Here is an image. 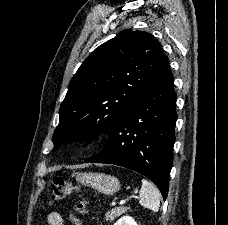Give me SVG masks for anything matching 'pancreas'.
<instances>
[{
	"label": "pancreas",
	"mask_w": 228,
	"mask_h": 225,
	"mask_svg": "<svg viewBox=\"0 0 228 225\" xmlns=\"http://www.w3.org/2000/svg\"><path fill=\"white\" fill-rule=\"evenodd\" d=\"M127 211V207H116V209H111V211H108V213L105 215L106 221H114L116 217L124 215V213H127Z\"/></svg>",
	"instance_id": "cf45deb5"
}]
</instances>
